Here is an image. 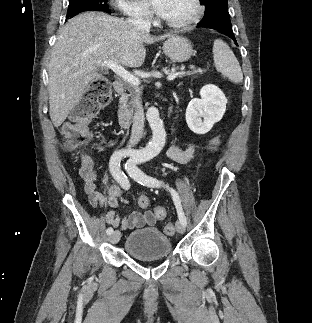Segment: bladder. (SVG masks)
Masks as SVG:
<instances>
[{
  "instance_id": "1",
  "label": "bladder",
  "mask_w": 312,
  "mask_h": 323,
  "mask_svg": "<svg viewBox=\"0 0 312 323\" xmlns=\"http://www.w3.org/2000/svg\"><path fill=\"white\" fill-rule=\"evenodd\" d=\"M127 254L140 260L168 256L172 250V240L158 228L139 229L129 233L125 239Z\"/></svg>"
}]
</instances>
